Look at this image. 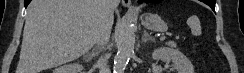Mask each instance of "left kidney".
I'll use <instances>...</instances> for the list:
<instances>
[{
  "label": "left kidney",
  "instance_id": "left-kidney-1",
  "mask_svg": "<svg viewBox=\"0 0 244 73\" xmlns=\"http://www.w3.org/2000/svg\"><path fill=\"white\" fill-rule=\"evenodd\" d=\"M154 60L172 61L176 73H194L191 61L179 50L172 48H159L153 51Z\"/></svg>",
  "mask_w": 244,
  "mask_h": 73
}]
</instances>
